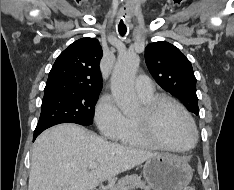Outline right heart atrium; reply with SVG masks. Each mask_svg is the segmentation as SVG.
<instances>
[{
  "mask_svg": "<svg viewBox=\"0 0 234 190\" xmlns=\"http://www.w3.org/2000/svg\"><path fill=\"white\" fill-rule=\"evenodd\" d=\"M94 118L101 133L110 139L119 138L127 121V117L119 109L114 99L107 94L98 100Z\"/></svg>",
  "mask_w": 234,
  "mask_h": 190,
  "instance_id": "d8ad5b80",
  "label": "right heart atrium"
}]
</instances>
